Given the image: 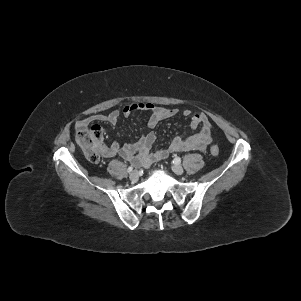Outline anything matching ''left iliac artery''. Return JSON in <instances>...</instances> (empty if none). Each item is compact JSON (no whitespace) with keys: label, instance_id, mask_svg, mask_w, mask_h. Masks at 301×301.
I'll return each mask as SVG.
<instances>
[{"label":"left iliac artery","instance_id":"left-iliac-artery-1","mask_svg":"<svg viewBox=\"0 0 301 301\" xmlns=\"http://www.w3.org/2000/svg\"><path fill=\"white\" fill-rule=\"evenodd\" d=\"M181 162V158L180 157H176L174 160H173V163L175 164H180Z\"/></svg>","mask_w":301,"mask_h":301}]
</instances>
